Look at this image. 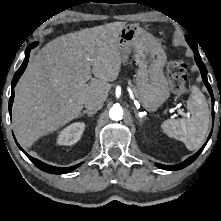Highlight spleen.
Instances as JSON below:
<instances>
[{"label": "spleen", "mask_w": 221, "mask_h": 221, "mask_svg": "<svg viewBox=\"0 0 221 221\" xmlns=\"http://www.w3.org/2000/svg\"><path fill=\"white\" fill-rule=\"evenodd\" d=\"M187 109L189 116L165 120L161 128L169 137L182 141L189 150H196L205 140L210 112L204 95L195 86L187 100Z\"/></svg>", "instance_id": "1"}]
</instances>
